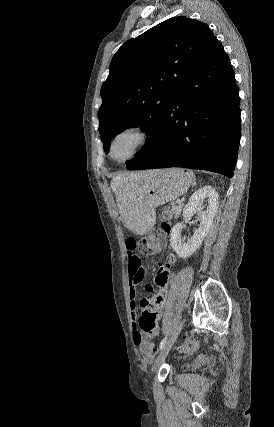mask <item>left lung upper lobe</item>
Here are the masks:
<instances>
[{"label":"left lung upper lobe","instance_id":"left-lung-upper-lobe-1","mask_svg":"<svg viewBox=\"0 0 274 427\" xmlns=\"http://www.w3.org/2000/svg\"><path fill=\"white\" fill-rule=\"evenodd\" d=\"M213 38L207 24L180 16L120 47L101 87L99 132L106 153L112 138L130 127L140 126L148 136L136 158L152 147L178 88Z\"/></svg>","mask_w":274,"mask_h":427}]
</instances>
